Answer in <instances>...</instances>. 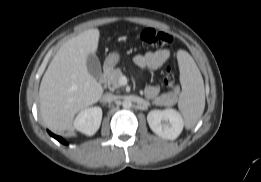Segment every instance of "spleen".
Returning a JSON list of instances; mask_svg holds the SVG:
<instances>
[{
  "instance_id": "spleen-1",
  "label": "spleen",
  "mask_w": 261,
  "mask_h": 182,
  "mask_svg": "<svg viewBox=\"0 0 261 182\" xmlns=\"http://www.w3.org/2000/svg\"><path fill=\"white\" fill-rule=\"evenodd\" d=\"M177 59L182 84L178 107L184 117L185 127L192 129L205 108L204 82L199 68L188 52L179 50Z\"/></svg>"
}]
</instances>
